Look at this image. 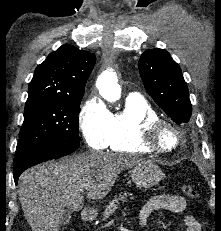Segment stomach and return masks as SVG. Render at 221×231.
Listing matches in <instances>:
<instances>
[{
	"label": "stomach",
	"instance_id": "obj_1",
	"mask_svg": "<svg viewBox=\"0 0 221 231\" xmlns=\"http://www.w3.org/2000/svg\"><path fill=\"white\" fill-rule=\"evenodd\" d=\"M131 178L138 187L149 188L161 182L164 173L152 161H141L132 167ZM96 213H94L95 217Z\"/></svg>",
	"mask_w": 221,
	"mask_h": 231
}]
</instances>
